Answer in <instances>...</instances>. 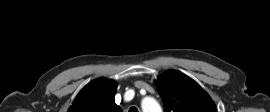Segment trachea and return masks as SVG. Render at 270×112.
<instances>
[{"mask_svg":"<svg viewBox=\"0 0 270 112\" xmlns=\"http://www.w3.org/2000/svg\"><path fill=\"white\" fill-rule=\"evenodd\" d=\"M129 112H139L138 109L136 107H131L129 109Z\"/></svg>","mask_w":270,"mask_h":112,"instance_id":"obj_1","label":"trachea"}]
</instances>
